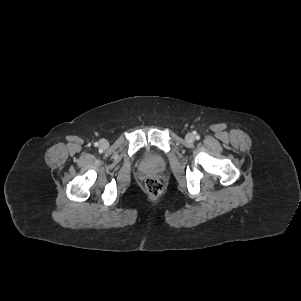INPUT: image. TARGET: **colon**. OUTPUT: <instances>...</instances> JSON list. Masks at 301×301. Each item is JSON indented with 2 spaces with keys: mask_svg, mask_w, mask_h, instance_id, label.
Here are the masks:
<instances>
[{
  "mask_svg": "<svg viewBox=\"0 0 301 301\" xmlns=\"http://www.w3.org/2000/svg\"><path fill=\"white\" fill-rule=\"evenodd\" d=\"M145 190L152 196H158L163 191V184L156 178H148L144 184Z\"/></svg>",
  "mask_w": 301,
  "mask_h": 301,
  "instance_id": "1",
  "label": "colon"
}]
</instances>
